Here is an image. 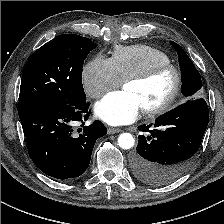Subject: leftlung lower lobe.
<instances>
[{
  "mask_svg": "<svg viewBox=\"0 0 224 224\" xmlns=\"http://www.w3.org/2000/svg\"><path fill=\"white\" fill-rule=\"evenodd\" d=\"M208 121L206 101L196 98L158 117L154 124L139 126L150 135H139L137 153L132 158L134 176L153 186L178 179L199 149Z\"/></svg>",
  "mask_w": 224,
  "mask_h": 224,
  "instance_id": "0a47b994",
  "label": "left lung lower lobe"
}]
</instances>
